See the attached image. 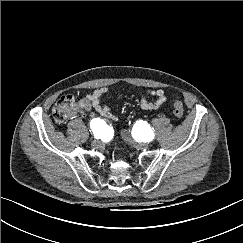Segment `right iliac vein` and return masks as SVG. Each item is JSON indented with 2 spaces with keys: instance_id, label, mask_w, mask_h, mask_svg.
Segmentation results:
<instances>
[{
  "instance_id": "right-iliac-vein-1",
  "label": "right iliac vein",
  "mask_w": 243,
  "mask_h": 243,
  "mask_svg": "<svg viewBox=\"0 0 243 243\" xmlns=\"http://www.w3.org/2000/svg\"><path fill=\"white\" fill-rule=\"evenodd\" d=\"M100 145V141L99 140H94L93 142H92V146L93 147H98Z\"/></svg>"
}]
</instances>
